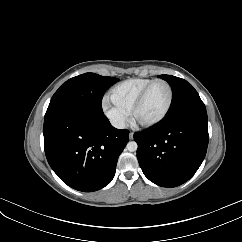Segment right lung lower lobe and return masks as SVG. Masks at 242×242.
<instances>
[{
	"instance_id": "1",
	"label": "right lung lower lobe",
	"mask_w": 242,
	"mask_h": 242,
	"mask_svg": "<svg viewBox=\"0 0 242 242\" xmlns=\"http://www.w3.org/2000/svg\"><path fill=\"white\" fill-rule=\"evenodd\" d=\"M44 147L49 165L68 186L84 192L109 184L129 131L114 128L103 113L66 109L45 116Z\"/></svg>"
}]
</instances>
